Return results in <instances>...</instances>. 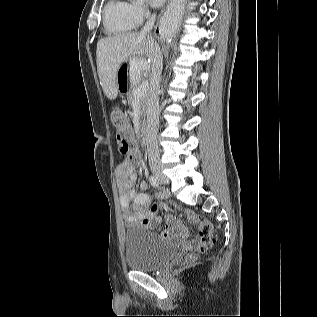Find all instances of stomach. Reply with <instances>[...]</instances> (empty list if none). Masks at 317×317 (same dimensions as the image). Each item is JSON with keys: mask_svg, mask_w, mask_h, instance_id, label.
<instances>
[{"mask_svg": "<svg viewBox=\"0 0 317 317\" xmlns=\"http://www.w3.org/2000/svg\"><path fill=\"white\" fill-rule=\"evenodd\" d=\"M148 65L147 59H140L139 55H130L129 59H123V63L117 70V84L115 90L117 94H131L129 87L139 85L142 82L140 74L144 73L145 66Z\"/></svg>", "mask_w": 317, "mask_h": 317, "instance_id": "stomach-1", "label": "stomach"}]
</instances>
